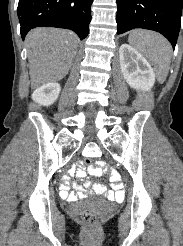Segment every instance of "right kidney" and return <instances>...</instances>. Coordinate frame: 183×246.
<instances>
[{"instance_id": "ca27d5eb", "label": "right kidney", "mask_w": 183, "mask_h": 246, "mask_svg": "<svg viewBox=\"0 0 183 246\" xmlns=\"http://www.w3.org/2000/svg\"><path fill=\"white\" fill-rule=\"evenodd\" d=\"M60 91V84L56 82L47 83L33 92L32 99L40 105L49 106L57 100Z\"/></svg>"}]
</instances>
